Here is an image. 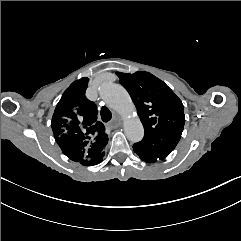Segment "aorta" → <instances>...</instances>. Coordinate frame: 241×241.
Returning a JSON list of instances; mask_svg holds the SVG:
<instances>
[{"instance_id":"1","label":"aorta","mask_w":241,"mask_h":241,"mask_svg":"<svg viewBox=\"0 0 241 241\" xmlns=\"http://www.w3.org/2000/svg\"><path fill=\"white\" fill-rule=\"evenodd\" d=\"M105 103L124 117V131L132 142H139L144 136V128L138 117L132 116L134 104L128 92L119 84H107L100 90Z\"/></svg>"}]
</instances>
